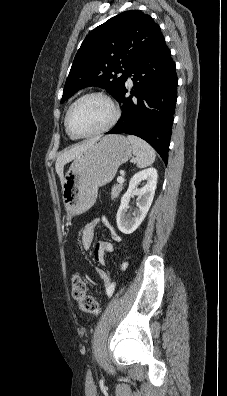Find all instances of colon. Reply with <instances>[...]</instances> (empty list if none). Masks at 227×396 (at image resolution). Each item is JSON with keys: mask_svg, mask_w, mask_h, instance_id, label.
<instances>
[{"mask_svg": "<svg viewBox=\"0 0 227 396\" xmlns=\"http://www.w3.org/2000/svg\"><path fill=\"white\" fill-rule=\"evenodd\" d=\"M72 296L78 301L81 311L91 314H97L100 311L97 300L87 293L86 283L83 278L75 274L71 279Z\"/></svg>", "mask_w": 227, "mask_h": 396, "instance_id": "5ec220e1", "label": "colon"}]
</instances>
